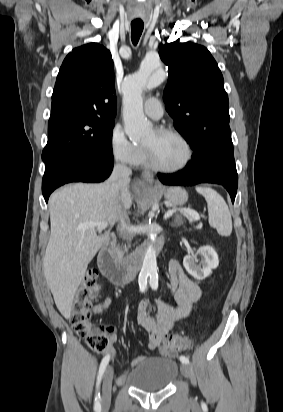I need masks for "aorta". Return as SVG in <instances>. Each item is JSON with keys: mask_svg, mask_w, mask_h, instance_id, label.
Returning <instances> with one entry per match:
<instances>
[{"mask_svg": "<svg viewBox=\"0 0 283 412\" xmlns=\"http://www.w3.org/2000/svg\"><path fill=\"white\" fill-rule=\"evenodd\" d=\"M159 62L143 64L140 70L127 76L122 85L123 91V119L125 133L130 140H140L151 132V124L143 113V91L160 85L165 74L160 69ZM154 238V235L150 236ZM157 274L156 252L149 245L143 259L141 277L147 278Z\"/></svg>", "mask_w": 283, "mask_h": 412, "instance_id": "762f6f07", "label": "aorta"}]
</instances>
